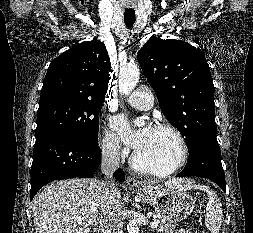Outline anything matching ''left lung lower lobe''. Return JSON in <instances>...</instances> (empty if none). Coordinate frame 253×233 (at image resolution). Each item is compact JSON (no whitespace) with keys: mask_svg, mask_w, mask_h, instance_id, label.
Instances as JSON below:
<instances>
[{"mask_svg":"<svg viewBox=\"0 0 253 233\" xmlns=\"http://www.w3.org/2000/svg\"><path fill=\"white\" fill-rule=\"evenodd\" d=\"M198 176L210 179L225 190V177L218 143L200 141L189 151L185 168L176 177Z\"/></svg>","mask_w":253,"mask_h":233,"instance_id":"0a47b994","label":"left lung lower lobe"}]
</instances>
